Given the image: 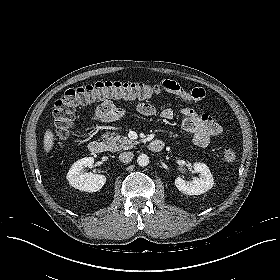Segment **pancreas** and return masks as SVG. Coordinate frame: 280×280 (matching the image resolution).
<instances>
[{"label": "pancreas", "mask_w": 280, "mask_h": 280, "mask_svg": "<svg viewBox=\"0 0 280 280\" xmlns=\"http://www.w3.org/2000/svg\"><path fill=\"white\" fill-rule=\"evenodd\" d=\"M103 138L106 140L108 150L112 152L132 149L138 143L128 137H121L119 134L114 133H106Z\"/></svg>", "instance_id": "cf45deb5"}]
</instances>
